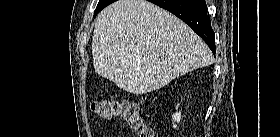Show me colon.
Wrapping results in <instances>:
<instances>
[{
  "mask_svg": "<svg viewBox=\"0 0 280 137\" xmlns=\"http://www.w3.org/2000/svg\"><path fill=\"white\" fill-rule=\"evenodd\" d=\"M91 110L102 119H123L139 137H156L154 129L144 123L137 105L126 100L103 99L95 101L91 105Z\"/></svg>",
  "mask_w": 280,
  "mask_h": 137,
  "instance_id": "colon-1",
  "label": "colon"
}]
</instances>
